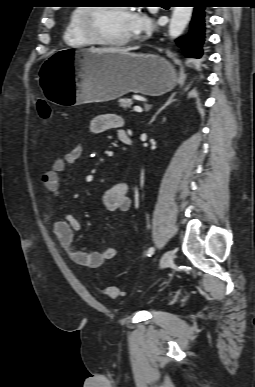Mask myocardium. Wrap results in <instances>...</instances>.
<instances>
[{"instance_id": "myocardium-1", "label": "myocardium", "mask_w": 255, "mask_h": 387, "mask_svg": "<svg viewBox=\"0 0 255 387\" xmlns=\"http://www.w3.org/2000/svg\"><path fill=\"white\" fill-rule=\"evenodd\" d=\"M116 7H119L131 12L130 9L125 6H116ZM102 8L104 7L88 6L83 9L80 17V27L83 34L92 42V44H97L102 46L120 47L130 43L133 40V35L120 40H110V39L103 38L98 34L94 24V17H95V14Z\"/></svg>"}]
</instances>
